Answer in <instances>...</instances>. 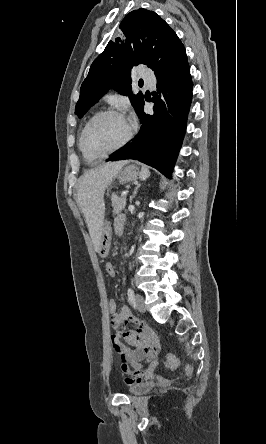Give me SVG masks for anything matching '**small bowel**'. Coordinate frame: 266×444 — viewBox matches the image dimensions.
I'll return each instance as SVG.
<instances>
[{
	"label": "small bowel",
	"instance_id": "small-bowel-1",
	"mask_svg": "<svg viewBox=\"0 0 266 444\" xmlns=\"http://www.w3.org/2000/svg\"><path fill=\"white\" fill-rule=\"evenodd\" d=\"M124 223L123 216H118L115 219L116 234H122ZM106 271L111 277L116 275L115 268L111 263L106 264ZM129 324H135L137 328L130 329ZM110 325L115 330L111 335V345L120 357L122 370L127 374H132L126 378V383L132 386L154 379L157 376L155 358L158 350V337L156 333L149 330L146 324L134 316L127 306H122L112 316ZM126 344L133 346L134 349H129ZM143 361L148 364L146 369L143 367Z\"/></svg>",
	"mask_w": 266,
	"mask_h": 444
}]
</instances>
